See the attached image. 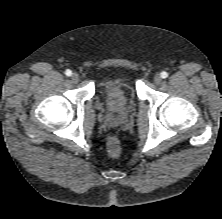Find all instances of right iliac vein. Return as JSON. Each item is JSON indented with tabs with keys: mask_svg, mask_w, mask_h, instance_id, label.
I'll list each match as a JSON object with an SVG mask.
<instances>
[{
	"mask_svg": "<svg viewBox=\"0 0 222 219\" xmlns=\"http://www.w3.org/2000/svg\"><path fill=\"white\" fill-rule=\"evenodd\" d=\"M71 81H72L73 83H77V82L79 81V75H78L77 73H73V74L71 75Z\"/></svg>",
	"mask_w": 222,
	"mask_h": 219,
	"instance_id": "63e3f726",
	"label": "right iliac vein"
}]
</instances>
